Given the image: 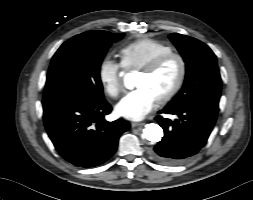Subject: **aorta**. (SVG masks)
Wrapping results in <instances>:
<instances>
[{
	"label": "aorta",
	"instance_id": "1",
	"mask_svg": "<svg viewBox=\"0 0 253 200\" xmlns=\"http://www.w3.org/2000/svg\"><path fill=\"white\" fill-rule=\"evenodd\" d=\"M125 86L130 89L133 87V82L130 77H125L124 79ZM163 136L162 128L155 123H150L145 125L143 130V137L151 142H159Z\"/></svg>",
	"mask_w": 253,
	"mask_h": 200
}]
</instances>
